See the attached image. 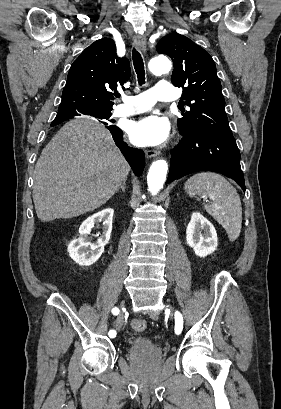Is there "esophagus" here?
Here are the masks:
<instances>
[{
  "instance_id": "esophagus-1",
  "label": "esophagus",
  "mask_w": 281,
  "mask_h": 409,
  "mask_svg": "<svg viewBox=\"0 0 281 409\" xmlns=\"http://www.w3.org/2000/svg\"><path fill=\"white\" fill-rule=\"evenodd\" d=\"M135 46L141 50L142 52H146V38L143 35L136 34L134 37ZM147 157H157L160 155L159 150H147L146 152Z\"/></svg>"
}]
</instances>
